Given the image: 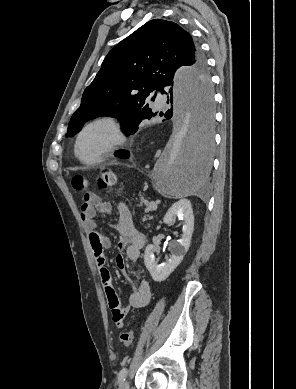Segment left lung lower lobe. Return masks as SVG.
<instances>
[{"instance_id":"obj_1","label":"left lung lower lobe","mask_w":296,"mask_h":389,"mask_svg":"<svg viewBox=\"0 0 296 389\" xmlns=\"http://www.w3.org/2000/svg\"><path fill=\"white\" fill-rule=\"evenodd\" d=\"M165 86L170 87L167 103L172 107L165 112L164 117L171 119L173 117V105L174 107L177 106V94L175 89L173 90V81L165 82L160 88L162 93L167 94L163 89ZM198 86L199 82L195 80L193 91L197 99V103L200 106L199 114L201 127L199 130L197 128L191 129L184 142L182 150V159L187 165V173L196 180L203 178L204 173L209 169L210 166L212 142L207 135V132L208 126L211 124L212 120L207 121V119L209 115L212 118L213 104V97H211V87L205 86L204 88L199 89ZM201 114L203 115V118H201ZM115 156L126 159L129 157V152L126 150H118L115 152Z\"/></svg>"}]
</instances>
